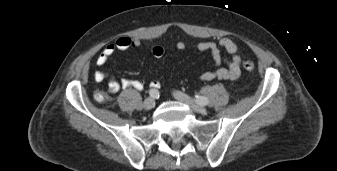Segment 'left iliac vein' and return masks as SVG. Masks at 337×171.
Instances as JSON below:
<instances>
[{
	"label": "left iliac vein",
	"instance_id": "left-iliac-vein-1",
	"mask_svg": "<svg viewBox=\"0 0 337 171\" xmlns=\"http://www.w3.org/2000/svg\"><path fill=\"white\" fill-rule=\"evenodd\" d=\"M173 96H174L175 99L187 104L196 113L204 114L207 111L205 107L196 103L193 99H191L190 97H188L187 95H185V94H183L179 91H175L173 93Z\"/></svg>",
	"mask_w": 337,
	"mask_h": 171
}]
</instances>
